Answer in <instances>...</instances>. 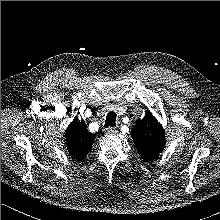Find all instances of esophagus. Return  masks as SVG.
<instances>
[{
  "label": "esophagus",
  "mask_w": 220,
  "mask_h": 220,
  "mask_svg": "<svg viewBox=\"0 0 220 220\" xmlns=\"http://www.w3.org/2000/svg\"><path fill=\"white\" fill-rule=\"evenodd\" d=\"M105 131L106 133H116L117 132V129L115 127H108V128H105Z\"/></svg>",
  "instance_id": "1"
}]
</instances>
